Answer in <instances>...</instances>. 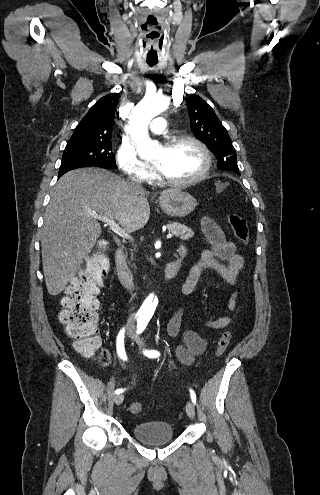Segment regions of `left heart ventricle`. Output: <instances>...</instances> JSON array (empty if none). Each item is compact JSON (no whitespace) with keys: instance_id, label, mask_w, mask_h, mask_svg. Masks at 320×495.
I'll return each mask as SVG.
<instances>
[{"instance_id":"b2bd125f","label":"left heart ventricle","mask_w":320,"mask_h":495,"mask_svg":"<svg viewBox=\"0 0 320 495\" xmlns=\"http://www.w3.org/2000/svg\"><path fill=\"white\" fill-rule=\"evenodd\" d=\"M153 163L165 176L183 180L198 174L204 161L196 146L181 143L170 148L161 147L153 158Z\"/></svg>"}]
</instances>
